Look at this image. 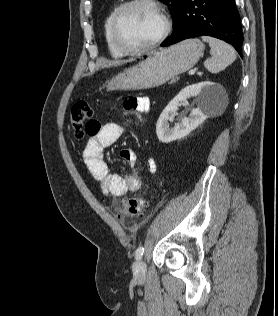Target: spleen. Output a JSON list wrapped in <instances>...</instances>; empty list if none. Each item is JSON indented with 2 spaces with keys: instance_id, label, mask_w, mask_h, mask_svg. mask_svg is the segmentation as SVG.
<instances>
[{
  "instance_id": "spleen-1",
  "label": "spleen",
  "mask_w": 278,
  "mask_h": 316,
  "mask_svg": "<svg viewBox=\"0 0 278 316\" xmlns=\"http://www.w3.org/2000/svg\"><path fill=\"white\" fill-rule=\"evenodd\" d=\"M202 40L211 47L212 57L204 63L209 72L217 73L235 61L236 52L229 44L209 36H202Z\"/></svg>"
}]
</instances>
